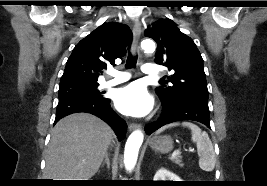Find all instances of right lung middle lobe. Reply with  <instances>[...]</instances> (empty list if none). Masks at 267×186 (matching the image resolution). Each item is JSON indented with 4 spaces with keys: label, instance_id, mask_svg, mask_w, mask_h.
Returning <instances> with one entry per match:
<instances>
[{
    "label": "right lung middle lobe",
    "instance_id": "obj_1",
    "mask_svg": "<svg viewBox=\"0 0 267 186\" xmlns=\"http://www.w3.org/2000/svg\"><path fill=\"white\" fill-rule=\"evenodd\" d=\"M98 83H74L60 85L58 96L59 98L69 95H86L94 98H102L101 93L97 89Z\"/></svg>",
    "mask_w": 267,
    "mask_h": 186
}]
</instances>
